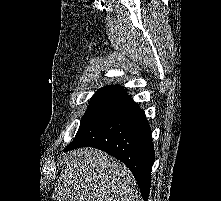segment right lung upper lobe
I'll list each match as a JSON object with an SVG mask.
<instances>
[{
  "mask_svg": "<svg viewBox=\"0 0 221 201\" xmlns=\"http://www.w3.org/2000/svg\"><path fill=\"white\" fill-rule=\"evenodd\" d=\"M104 88H111V89H116V90L121 89L120 86H106V87H104Z\"/></svg>",
  "mask_w": 221,
  "mask_h": 201,
  "instance_id": "cb5924a9",
  "label": "right lung upper lobe"
}]
</instances>
